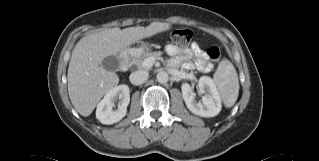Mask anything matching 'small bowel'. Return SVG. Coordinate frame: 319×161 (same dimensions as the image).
Listing matches in <instances>:
<instances>
[{
	"label": "small bowel",
	"mask_w": 319,
	"mask_h": 161,
	"mask_svg": "<svg viewBox=\"0 0 319 161\" xmlns=\"http://www.w3.org/2000/svg\"><path fill=\"white\" fill-rule=\"evenodd\" d=\"M166 52L171 56L169 64L172 67L181 65L186 70L197 69L204 73L211 70V64L207 61L205 52L197 43L186 48L168 45ZM193 57H195V61H191Z\"/></svg>",
	"instance_id": "1"
}]
</instances>
